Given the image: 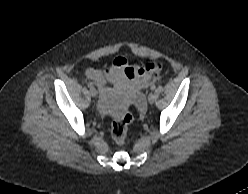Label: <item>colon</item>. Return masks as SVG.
I'll use <instances>...</instances> for the list:
<instances>
[{"label":"colon","instance_id":"obj_1","mask_svg":"<svg viewBox=\"0 0 248 194\" xmlns=\"http://www.w3.org/2000/svg\"><path fill=\"white\" fill-rule=\"evenodd\" d=\"M152 67H155L152 65ZM134 114L133 112L128 109L126 110L123 115L115 120L111 126V136L113 141L118 145L122 146L126 142L127 130L128 126L133 122Z\"/></svg>","mask_w":248,"mask_h":194}]
</instances>
